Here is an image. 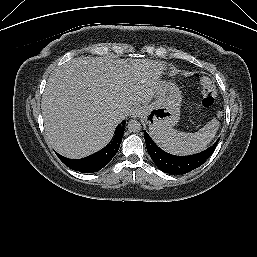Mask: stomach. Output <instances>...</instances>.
Returning <instances> with one entry per match:
<instances>
[{
	"mask_svg": "<svg viewBox=\"0 0 257 257\" xmlns=\"http://www.w3.org/2000/svg\"><path fill=\"white\" fill-rule=\"evenodd\" d=\"M155 101L143 107L142 116L150 131L170 128L180 119L182 92L173 82L160 80Z\"/></svg>",
	"mask_w": 257,
	"mask_h": 257,
	"instance_id": "obj_1",
	"label": "stomach"
}]
</instances>
